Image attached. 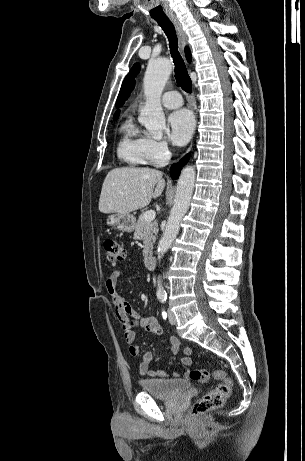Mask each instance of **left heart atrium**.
Masks as SVG:
<instances>
[{
	"label": "left heart atrium",
	"mask_w": 305,
	"mask_h": 461,
	"mask_svg": "<svg viewBox=\"0 0 305 461\" xmlns=\"http://www.w3.org/2000/svg\"><path fill=\"white\" fill-rule=\"evenodd\" d=\"M169 135L176 145H184L190 139L194 129V118L185 109L173 112L168 118Z\"/></svg>",
	"instance_id": "1"
}]
</instances>
